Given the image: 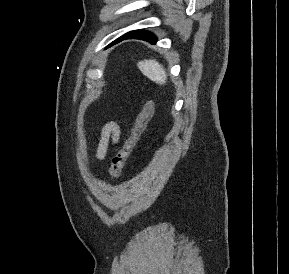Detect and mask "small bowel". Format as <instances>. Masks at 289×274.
Masks as SVG:
<instances>
[{"label": "small bowel", "instance_id": "obj_1", "mask_svg": "<svg viewBox=\"0 0 289 274\" xmlns=\"http://www.w3.org/2000/svg\"><path fill=\"white\" fill-rule=\"evenodd\" d=\"M121 125L116 121L107 122L101 130L95 158L98 161L105 159L110 146H114L120 139Z\"/></svg>", "mask_w": 289, "mask_h": 274}]
</instances>
